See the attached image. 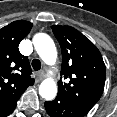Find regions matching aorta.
Here are the masks:
<instances>
[{
  "label": "aorta",
  "instance_id": "aorta-1",
  "mask_svg": "<svg viewBox=\"0 0 117 117\" xmlns=\"http://www.w3.org/2000/svg\"><path fill=\"white\" fill-rule=\"evenodd\" d=\"M34 47L40 58L48 65H54L57 60V50L52 38L45 33H37L33 38ZM39 94L47 101L57 95V84L54 79L47 78L39 86Z\"/></svg>",
  "mask_w": 117,
  "mask_h": 117
}]
</instances>
